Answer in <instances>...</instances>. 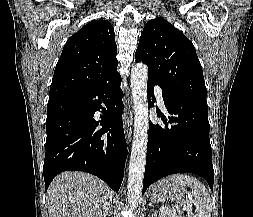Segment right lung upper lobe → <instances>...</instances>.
I'll return each instance as SVG.
<instances>
[{"label": "right lung upper lobe", "mask_w": 253, "mask_h": 217, "mask_svg": "<svg viewBox=\"0 0 253 217\" xmlns=\"http://www.w3.org/2000/svg\"><path fill=\"white\" fill-rule=\"evenodd\" d=\"M114 29L103 19L93 20L66 42L56 65L49 101L85 92L117 73Z\"/></svg>", "instance_id": "right-lung-upper-lobe-1"}]
</instances>
